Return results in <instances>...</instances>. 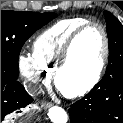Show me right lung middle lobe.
Wrapping results in <instances>:
<instances>
[{"label":"right lung middle lobe","mask_w":123,"mask_h":123,"mask_svg":"<svg viewBox=\"0 0 123 123\" xmlns=\"http://www.w3.org/2000/svg\"><path fill=\"white\" fill-rule=\"evenodd\" d=\"M57 17L56 13L1 11V80L17 81L18 58L26 40Z\"/></svg>","instance_id":"right-lung-middle-lobe-1"}]
</instances>
